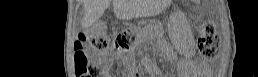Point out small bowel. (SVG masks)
<instances>
[{
    "label": "small bowel",
    "instance_id": "1",
    "mask_svg": "<svg viewBox=\"0 0 258 77\" xmlns=\"http://www.w3.org/2000/svg\"><path fill=\"white\" fill-rule=\"evenodd\" d=\"M89 54H90L89 59L91 61L98 63V64H102L104 62V55H102L98 52H95V51H91Z\"/></svg>",
    "mask_w": 258,
    "mask_h": 77
}]
</instances>
